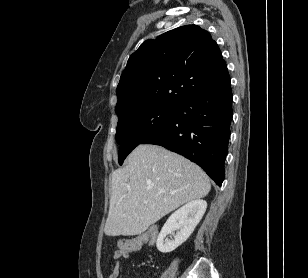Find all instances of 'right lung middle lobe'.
Returning <instances> with one entry per match:
<instances>
[{
    "instance_id": "dd1d6c3e",
    "label": "right lung middle lobe",
    "mask_w": 308,
    "mask_h": 278,
    "mask_svg": "<svg viewBox=\"0 0 308 278\" xmlns=\"http://www.w3.org/2000/svg\"><path fill=\"white\" fill-rule=\"evenodd\" d=\"M177 113L176 105H159L136 111L118 121L116 140L120 144L119 164L137 145L172 122Z\"/></svg>"
}]
</instances>
